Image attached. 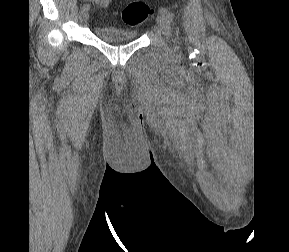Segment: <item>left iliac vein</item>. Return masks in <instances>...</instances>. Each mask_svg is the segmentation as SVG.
Returning <instances> with one entry per match:
<instances>
[{
  "label": "left iliac vein",
  "mask_w": 289,
  "mask_h": 252,
  "mask_svg": "<svg viewBox=\"0 0 289 252\" xmlns=\"http://www.w3.org/2000/svg\"><path fill=\"white\" fill-rule=\"evenodd\" d=\"M156 21H157V25H158L160 31L166 37H170V23H169L168 19L166 18V16L163 14H159L157 16Z\"/></svg>",
  "instance_id": "obj_1"
}]
</instances>
